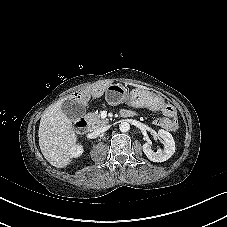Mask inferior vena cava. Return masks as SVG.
I'll use <instances>...</instances> for the list:
<instances>
[{"label":"inferior vena cava","mask_w":227,"mask_h":227,"mask_svg":"<svg viewBox=\"0 0 227 227\" xmlns=\"http://www.w3.org/2000/svg\"><path fill=\"white\" fill-rule=\"evenodd\" d=\"M110 126L108 125H105V126H102V127H99L97 129L94 130L93 134L94 136H98L100 135L101 133L107 131L109 129Z\"/></svg>","instance_id":"602c4592"}]
</instances>
